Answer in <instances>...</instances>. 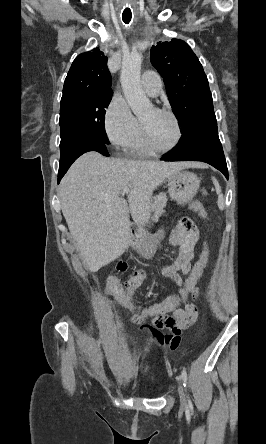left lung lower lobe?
Returning <instances> with one entry per match:
<instances>
[{"label":"left lung lower lobe","mask_w":266,"mask_h":444,"mask_svg":"<svg viewBox=\"0 0 266 444\" xmlns=\"http://www.w3.org/2000/svg\"><path fill=\"white\" fill-rule=\"evenodd\" d=\"M183 132L184 135L178 145L161 160L206 162L221 171L228 179V169L218 136L215 114H208L196 120Z\"/></svg>","instance_id":"1"}]
</instances>
